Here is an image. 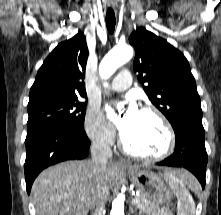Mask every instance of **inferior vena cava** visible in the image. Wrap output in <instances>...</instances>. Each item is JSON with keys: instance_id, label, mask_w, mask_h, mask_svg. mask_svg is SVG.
<instances>
[{"instance_id": "602c4592", "label": "inferior vena cava", "mask_w": 221, "mask_h": 215, "mask_svg": "<svg viewBox=\"0 0 221 215\" xmlns=\"http://www.w3.org/2000/svg\"><path fill=\"white\" fill-rule=\"evenodd\" d=\"M111 158L112 151L107 141L104 139L94 140L91 146V163L97 186L90 203L92 215H102L109 196V190L104 183V178L108 160Z\"/></svg>"}]
</instances>
